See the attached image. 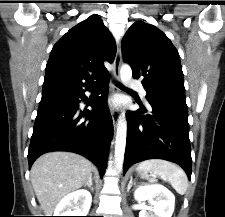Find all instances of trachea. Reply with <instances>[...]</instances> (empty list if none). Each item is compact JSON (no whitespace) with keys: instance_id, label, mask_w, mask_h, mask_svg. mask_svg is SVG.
Wrapping results in <instances>:
<instances>
[{"instance_id":"trachea-1","label":"trachea","mask_w":225,"mask_h":217,"mask_svg":"<svg viewBox=\"0 0 225 217\" xmlns=\"http://www.w3.org/2000/svg\"><path fill=\"white\" fill-rule=\"evenodd\" d=\"M106 82H107V80L104 79V80L100 81L99 83L93 85V88L101 89V88H103L105 86Z\"/></svg>"}]
</instances>
